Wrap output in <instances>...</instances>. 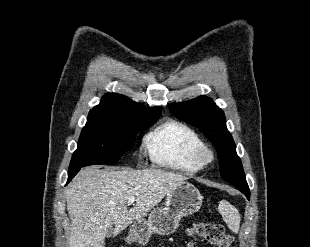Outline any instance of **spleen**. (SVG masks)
Wrapping results in <instances>:
<instances>
[{"label": "spleen", "instance_id": "spleen-1", "mask_svg": "<svg viewBox=\"0 0 310 247\" xmlns=\"http://www.w3.org/2000/svg\"><path fill=\"white\" fill-rule=\"evenodd\" d=\"M218 210L229 229L234 233H238L241 220L238 210L226 200L220 201Z\"/></svg>", "mask_w": 310, "mask_h": 247}]
</instances>
